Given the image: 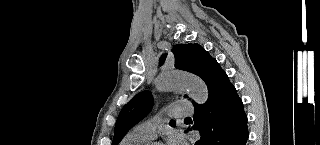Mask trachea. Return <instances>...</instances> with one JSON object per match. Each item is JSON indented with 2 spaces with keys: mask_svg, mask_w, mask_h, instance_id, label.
<instances>
[{
  "mask_svg": "<svg viewBox=\"0 0 320 145\" xmlns=\"http://www.w3.org/2000/svg\"><path fill=\"white\" fill-rule=\"evenodd\" d=\"M185 119H191L190 117H186Z\"/></svg>",
  "mask_w": 320,
  "mask_h": 145,
  "instance_id": "obj_1",
  "label": "trachea"
}]
</instances>
